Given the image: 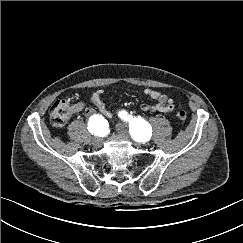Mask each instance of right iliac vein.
<instances>
[{
    "label": "right iliac vein",
    "instance_id": "obj_1",
    "mask_svg": "<svg viewBox=\"0 0 243 243\" xmlns=\"http://www.w3.org/2000/svg\"><path fill=\"white\" fill-rule=\"evenodd\" d=\"M101 142H102V139L98 136H95L93 139H92V144L94 146H100L101 145Z\"/></svg>",
    "mask_w": 243,
    "mask_h": 243
}]
</instances>
